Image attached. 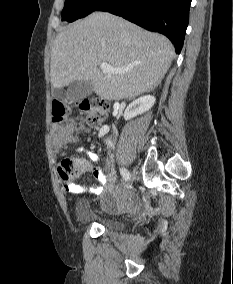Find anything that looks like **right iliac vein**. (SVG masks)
Here are the masks:
<instances>
[{
  "instance_id": "right-iliac-vein-1",
  "label": "right iliac vein",
  "mask_w": 233,
  "mask_h": 284,
  "mask_svg": "<svg viewBox=\"0 0 233 284\" xmlns=\"http://www.w3.org/2000/svg\"><path fill=\"white\" fill-rule=\"evenodd\" d=\"M135 180H136V172H129V177H127V188H132L133 185H135Z\"/></svg>"
}]
</instances>
